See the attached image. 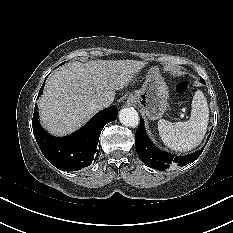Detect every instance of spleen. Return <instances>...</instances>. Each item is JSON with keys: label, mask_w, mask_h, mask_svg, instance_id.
Segmentation results:
<instances>
[{"label": "spleen", "mask_w": 233, "mask_h": 233, "mask_svg": "<svg viewBox=\"0 0 233 233\" xmlns=\"http://www.w3.org/2000/svg\"><path fill=\"white\" fill-rule=\"evenodd\" d=\"M190 119L184 122L171 123L167 120L158 121V131L163 143L175 151L185 152L197 147L203 140L209 120L207 100L198 90L191 104Z\"/></svg>", "instance_id": "spleen-1"}]
</instances>
